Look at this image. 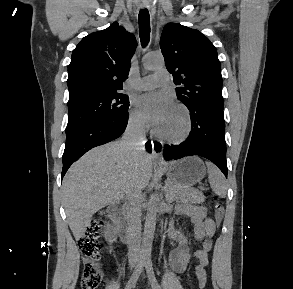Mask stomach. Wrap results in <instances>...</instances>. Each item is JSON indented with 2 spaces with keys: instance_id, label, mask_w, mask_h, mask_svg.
<instances>
[{
  "instance_id": "1",
  "label": "stomach",
  "mask_w": 293,
  "mask_h": 289,
  "mask_svg": "<svg viewBox=\"0 0 293 289\" xmlns=\"http://www.w3.org/2000/svg\"><path fill=\"white\" fill-rule=\"evenodd\" d=\"M163 167L173 183L183 186H192L200 182L206 174L204 162L195 156L170 162Z\"/></svg>"
}]
</instances>
